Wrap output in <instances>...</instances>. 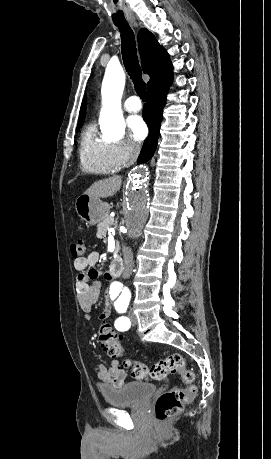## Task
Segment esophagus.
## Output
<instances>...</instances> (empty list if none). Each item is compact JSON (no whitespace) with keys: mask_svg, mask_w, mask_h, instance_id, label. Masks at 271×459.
<instances>
[{"mask_svg":"<svg viewBox=\"0 0 271 459\" xmlns=\"http://www.w3.org/2000/svg\"><path fill=\"white\" fill-rule=\"evenodd\" d=\"M132 25H133L134 27H137V26H138L137 22H133Z\"/></svg>","mask_w":271,"mask_h":459,"instance_id":"1","label":"esophagus"}]
</instances>
